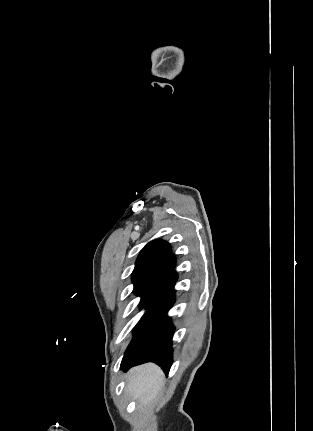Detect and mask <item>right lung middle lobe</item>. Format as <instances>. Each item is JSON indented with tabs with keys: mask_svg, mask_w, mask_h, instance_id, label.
<instances>
[{
	"mask_svg": "<svg viewBox=\"0 0 313 431\" xmlns=\"http://www.w3.org/2000/svg\"><path fill=\"white\" fill-rule=\"evenodd\" d=\"M147 300H148V298H142L141 299V301H140V307L141 308L144 307V305L146 304Z\"/></svg>",
	"mask_w": 313,
	"mask_h": 431,
	"instance_id": "1",
	"label": "right lung middle lobe"
}]
</instances>
